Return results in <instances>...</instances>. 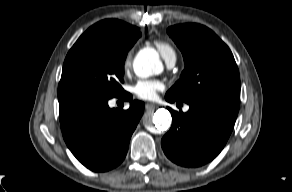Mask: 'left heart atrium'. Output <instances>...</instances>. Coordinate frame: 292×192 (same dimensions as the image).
Segmentation results:
<instances>
[{
  "mask_svg": "<svg viewBox=\"0 0 292 192\" xmlns=\"http://www.w3.org/2000/svg\"><path fill=\"white\" fill-rule=\"evenodd\" d=\"M163 89V84L158 80L140 79L133 86V93L140 99L153 100L157 93Z\"/></svg>",
  "mask_w": 292,
  "mask_h": 192,
  "instance_id": "39dd6f15",
  "label": "left heart atrium"
}]
</instances>
